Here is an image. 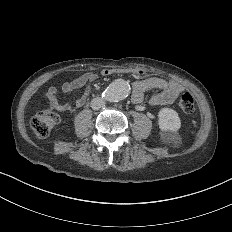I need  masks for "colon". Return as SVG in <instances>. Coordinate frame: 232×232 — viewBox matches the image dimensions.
<instances>
[{
  "mask_svg": "<svg viewBox=\"0 0 232 232\" xmlns=\"http://www.w3.org/2000/svg\"><path fill=\"white\" fill-rule=\"evenodd\" d=\"M180 111L182 114H195V102L190 94H178ZM46 101H51V96H46ZM60 119V114L54 108H47L46 112H38V115L28 120V125L35 130V137H48L50 129H54Z\"/></svg>",
  "mask_w": 232,
  "mask_h": 232,
  "instance_id": "1",
  "label": "colon"
}]
</instances>
